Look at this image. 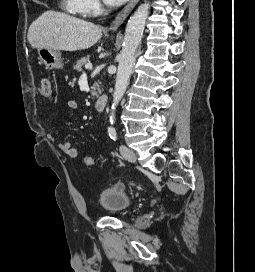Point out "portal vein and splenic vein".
<instances>
[{
  "label": "portal vein and splenic vein",
  "mask_w": 255,
  "mask_h": 272,
  "mask_svg": "<svg viewBox=\"0 0 255 272\" xmlns=\"http://www.w3.org/2000/svg\"><path fill=\"white\" fill-rule=\"evenodd\" d=\"M85 68H86L87 70L92 69V64H91V63L86 64V65H85Z\"/></svg>",
  "instance_id": "1"
}]
</instances>
